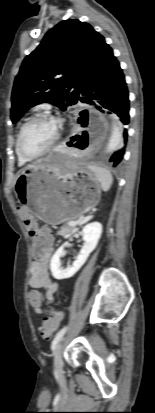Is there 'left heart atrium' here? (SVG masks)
Here are the masks:
<instances>
[{"instance_id":"left-heart-atrium-1","label":"left heart atrium","mask_w":155,"mask_h":413,"mask_svg":"<svg viewBox=\"0 0 155 413\" xmlns=\"http://www.w3.org/2000/svg\"><path fill=\"white\" fill-rule=\"evenodd\" d=\"M53 122H54V123H55V125L57 126V121H55V120H54Z\"/></svg>"}]
</instances>
